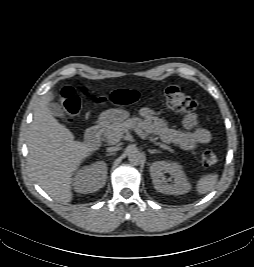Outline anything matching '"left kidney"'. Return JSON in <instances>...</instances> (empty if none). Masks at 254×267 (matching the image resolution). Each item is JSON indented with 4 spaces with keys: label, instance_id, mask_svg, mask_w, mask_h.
<instances>
[{
    "label": "left kidney",
    "instance_id": "1",
    "mask_svg": "<svg viewBox=\"0 0 254 267\" xmlns=\"http://www.w3.org/2000/svg\"><path fill=\"white\" fill-rule=\"evenodd\" d=\"M166 173L171 176V183L166 180ZM150 175L154 188L161 193L182 195L188 193L191 188L181 165L176 162L156 161L150 166Z\"/></svg>",
    "mask_w": 254,
    "mask_h": 267
}]
</instances>
